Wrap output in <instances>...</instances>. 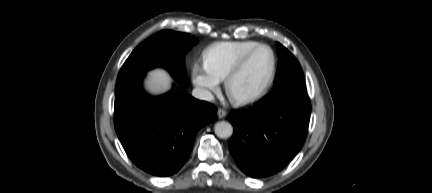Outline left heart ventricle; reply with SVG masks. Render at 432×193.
<instances>
[{
	"instance_id": "obj_1",
	"label": "left heart ventricle",
	"mask_w": 432,
	"mask_h": 193,
	"mask_svg": "<svg viewBox=\"0 0 432 193\" xmlns=\"http://www.w3.org/2000/svg\"><path fill=\"white\" fill-rule=\"evenodd\" d=\"M272 54L262 48L248 60L231 83L232 93L237 97H248L259 92L267 82L272 69Z\"/></svg>"
}]
</instances>
